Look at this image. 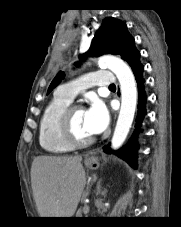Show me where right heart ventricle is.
Returning a JSON list of instances; mask_svg holds the SVG:
<instances>
[{"label":"right heart ventricle","mask_w":181,"mask_h":227,"mask_svg":"<svg viewBox=\"0 0 181 227\" xmlns=\"http://www.w3.org/2000/svg\"><path fill=\"white\" fill-rule=\"evenodd\" d=\"M70 104V100L56 93L41 115L39 143L48 153L61 154L73 149V146L63 138L59 125L61 114Z\"/></svg>","instance_id":"right-heart-ventricle-1"}]
</instances>
